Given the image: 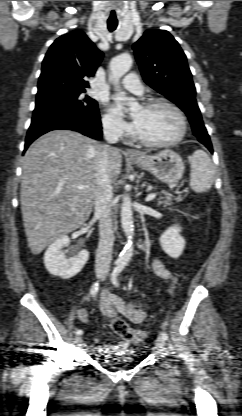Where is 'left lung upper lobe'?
<instances>
[{"label":"left lung upper lobe","mask_w":242,"mask_h":416,"mask_svg":"<svg viewBox=\"0 0 242 416\" xmlns=\"http://www.w3.org/2000/svg\"><path fill=\"white\" fill-rule=\"evenodd\" d=\"M133 50L144 81L186 113L200 142L209 140L187 58L174 37L166 30H147Z\"/></svg>","instance_id":"obj_1"}]
</instances>
